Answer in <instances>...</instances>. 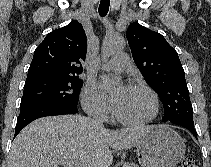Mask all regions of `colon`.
<instances>
[{"label":"colon","mask_w":211,"mask_h":167,"mask_svg":"<svg viewBox=\"0 0 211 167\" xmlns=\"http://www.w3.org/2000/svg\"><path fill=\"white\" fill-rule=\"evenodd\" d=\"M179 167H197L195 163V159L192 156H186Z\"/></svg>","instance_id":"obj_1"}]
</instances>
